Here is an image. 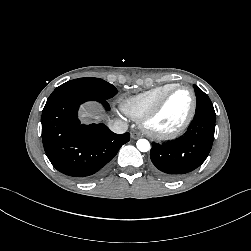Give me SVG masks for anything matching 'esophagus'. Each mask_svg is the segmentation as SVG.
Instances as JSON below:
<instances>
[{
	"label": "esophagus",
	"instance_id": "34e87169",
	"mask_svg": "<svg viewBox=\"0 0 251 251\" xmlns=\"http://www.w3.org/2000/svg\"><path fill=\"white\" fill-rule=\"evenodd\" d=\"M142 135L139 133V132H136V131H134V132H132L131 133V138L132 139H138V138H140Z\"/></svg>",
	"mask_w": 251,
	"mask_h": 251
}]
</instances>
